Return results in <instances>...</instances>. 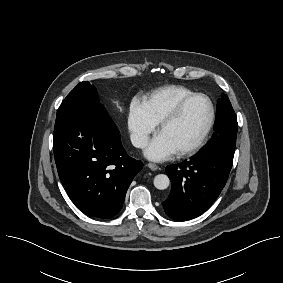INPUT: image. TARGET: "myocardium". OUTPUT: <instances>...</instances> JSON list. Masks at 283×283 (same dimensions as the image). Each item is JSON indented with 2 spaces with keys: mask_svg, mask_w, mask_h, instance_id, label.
<instances>
[{
  "mask_svg": "<svg viewBox=\"0 0 283 283\" xmlns=\"http://www.w3.org/2000/svg\"><path fill=\"white\" fill-rule=\"evenodd\" d=\"M198 98H204L209 102V104H210V119H209V122L207 124L206 129L204 130L203 134L198 139V141L195 142L190 147L185 148V149L177 152V155L179 157L191 156V155L195 154L196 152H198L203 147V145L207 141V139H208V137H209V135H210V133L213 129V126H214V123H215V118H216V108H215V104H214L213 100L208 95H206L204 93H195L191 96H188L185 99H183L172 110V112L169 115H167L159 124L158 131L161 132L167 126H169L170 124H172L173 122L178 120L179 117L181 116V114L183 113V111L185 110V108L188 106V104H190L192 101H194Z\"/></svg>",
  "mask_w": 283,
  "mask_h": 283,
  "instance_id": "1",
  "label": "myocardium"
}]
</instances>
